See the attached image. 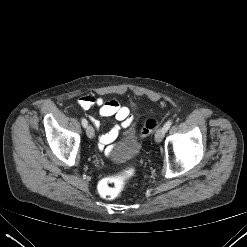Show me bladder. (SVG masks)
I'll return each instance as SVG.
<instances>
[{"instance_id": "31cf9c89", "label": "bladder", "mask_w": 247, "mask_h": 247, "mask_svg": "<svg viewBox=\"0 0 247 247\" xmlns=\"http://www.w3.org/2000/svg\"><path fill=\"white\" fill-rule=\"evenodd\" d=\"M141 148V142L132 129L121 144L110 153V159L113 162L121 163L137 156Z\"/></svg>"}]
</instances>
